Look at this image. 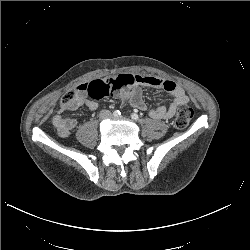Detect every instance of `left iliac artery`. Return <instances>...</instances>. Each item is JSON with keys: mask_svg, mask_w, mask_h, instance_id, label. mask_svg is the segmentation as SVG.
<instances>
[{"mask_svg": "<svg viewBox=\"0 0 250 250\" xmlns=\"http://www.w3.org/2000/svg\"><path fill=\"white\" fill-rule=\"evenodd\" d=\"M131 118H132L133 120H135V121H137V120L139 119L138 114H136V113H132V114H131Z\"/></svg>", "mask_w": 250, "mask_h": 250, "instance_id": "obj_1", "label": "left iliac artery"}]
</instances>
